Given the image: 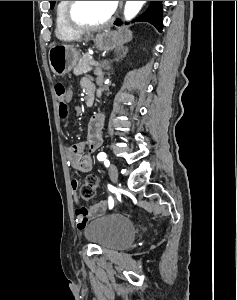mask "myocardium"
Listing matches in <instances>:
<instances>
[{"label": "myocardium", "mask_w": 237, "mask_h": 300, "mask_svg": "<svg viewBox=\"0 0 237 300\" xmlns=\"http://www.w3.org/2000/svg\"><path fill=\"white\" fill-rule=\"evenodd\" d=\"M78 4H79V1H68V5H67L66 11H65V17H66L67 24L69 25V27L71 29H73L76 32L102 30V29L110 26L115 20L116 12L114 10L112 15L109 17V19H107L105 22H103L101 24L88 25V24L80 23L75 17V11H76Z\"/></svg>", "instance_id": "1"}]
</instances>
